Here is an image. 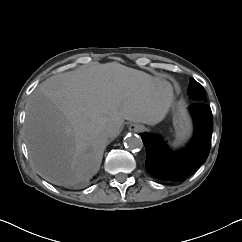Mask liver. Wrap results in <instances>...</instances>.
I'll return each instance as SVG.
<instances>
[{"label": "liver", "instance_id": "obj_1", "mask_svg": "<svg viewBox=\"0 0 242 242\" xmlns=\"http://www.w3.org/2000/svg\"><path fill=\"white\" fill-rule=\"evenodd\" d=\"M173 103L168 81L117 62L52 76L25 107L31 162L53 184L85 183L99 170L112 123L156 125Z\"/></svg>", "mask_w": 242, "mask_h": 242}]
</instances>
